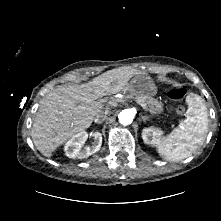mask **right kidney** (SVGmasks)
Segmentation results:
<instances>
[{"instance_id":"obj_1","label":"right kidney","mask_w":221,"mask_h":221,"mask_svg":"<svg viewBox=\"0 0 221 221\" xmlns=\"http://www.w3.org/2000/svg\"><path fill=\"white\" fill-rule=\"evenodd\" d=\"M91 135L94 137V142L92 143L91 147H86L84 149H82V147L88 138V133L82 131L74 135L65 144L64 151L66 156L73 159H83L99 151L102 145V135L99 132H94Z\"/></svg>"}]
</instances>
